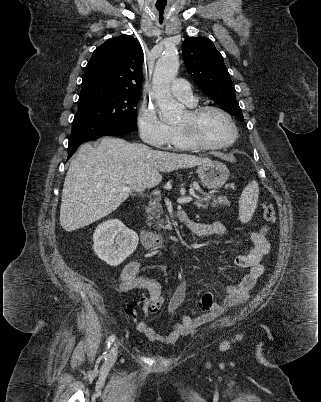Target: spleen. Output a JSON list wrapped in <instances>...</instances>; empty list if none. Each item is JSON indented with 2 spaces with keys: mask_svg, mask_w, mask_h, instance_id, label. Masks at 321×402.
I'll return each instance as SVG.
<instances>
[{
  "mask_svg": "<svg viewBox=\"0 0 321 402\" xmlns=\"http://www.w3.org/2000/svg\"><path fill=\"white\" fill-rule=\"evenodd\" d=\"M259 186L256 180L251 181L242 191L239 200V219L247 223L252 218L258 202Z\"/></svg>",
  "mask_w": 321,
  "mask_h": 402,
  "instance_id": "obj_1",
  "label": "spleen"
}]
</instances>
